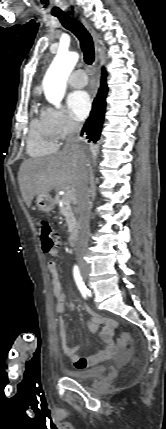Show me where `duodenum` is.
Wrapping results in <instances>:
<instances>
[{
  "label": "duodenum",
  "mask_w": 166,
  "mask_h": 429,
  "mask_svg": "<svg viewBox=\"0 0 166 429\" xmlns=\"http://www.w3.org/2000/svg\"><path fill=\"white\" fill-rule=\"evenodd\" d=\"M78 236H79L78 230H75L74 232L71 233V235L69 237V245L71 247H74L77 244Z\"/></svg>",
  "instance_id": "obj_1"
}]
</instances>
